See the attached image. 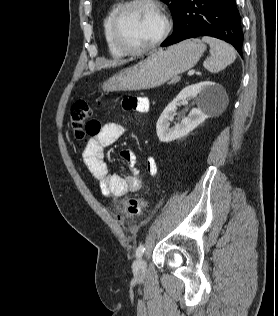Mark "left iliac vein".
<instances>
[{"instance_id":"1","label":"left iliac vein","mask_w":278,"mask_h":316,"mask_svg":"<svg viewBox=\"0 0 278 316\" xmlns=\"http://www.w3.org/2000/svg\"><path fill=\"white\" fill-rule=\"evenodd\" d=\"M146 262L143 258L137 259L133 264V272L135 276L141 277L145 274Z\"/></svg>"}]
</instances>
